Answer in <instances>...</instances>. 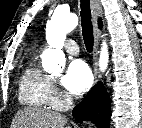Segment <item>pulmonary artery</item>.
I'll use <instances>...</instances> for the list:
<instances>
[{
	"instance_id": "pulmonary-artery-1",
	"label": "pulmonary artery",
	"mask_w": 142,
	"mask_h": 128,
	"mask_svg": "<svg viewBox=\"0 0 142 128\" xmlns=\"http://www.w3.org/2000/svg\"><path fill=\"white\" fill-rule=\"evenodd\" d=\"M64 49L71 55H77L79 53V47L77 43L72 39L66 41Z\"/></svg>"
}]
</instances>
